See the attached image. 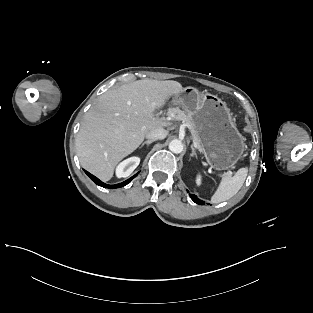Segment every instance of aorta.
<instances>
[{"instance_id":"aorta-1","label":"aorta","mask_w":313,"mask_h":313,"mask_svg":"<svg viewBox=\"0 0 313 313\" xmlns=\"http://www.w3.org/2000/svg\"><path fill=\"white\" fill-rule=\"evenodd\" d=\"M169 149L170 151H172L173 153L175 154H179L183 151V144L180 140H172L170 143H169Z\"/></svg>"}]
</instances>
